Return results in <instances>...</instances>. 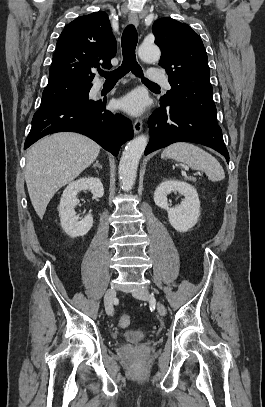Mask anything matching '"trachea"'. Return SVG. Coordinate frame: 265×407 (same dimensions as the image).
<instances>
[{
  "mask_svg": "<svg viewBox=\"0 0 265 407\" xmlns=\"http://www.w3.org/2000/svg\"><path fill=\"white\" fill-rule=\"evenodd\" d=\"M138 42V35L134 25H128L121 39L123 62L117 69L106 72L99 70V74L108 81H117L131 71L136 77L142 79L146 85L158 86L143 77V71L136 61L135 49Z\"/></svg>",
  "mask_w": 265,
  "mask_h": 407,
  "instance_id": "trachea-1",
  "label": "trachea"
}]
</instances>
